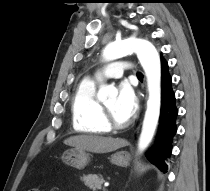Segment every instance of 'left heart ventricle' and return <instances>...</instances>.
I'll return each instance as SVG.
<instances>
[{
    "label": "left heart ventricle",
    "mask_w": 210,
    "mask_h": 191,
    "mask_svg": "<svg viewBox=\"0 0 210 191\" xmlns=\"http://www.w3.org/2000/svg\"><path fill=\"white\" fill-rule=\"evenodd\" d=\"M105 106L109 109V111L112 113V115L114 116V118L120 122H126L127 120L121 115L119 114V112L117 111V98L116 96L110 98L109 100H107L106 102H104Z\"/></svg>",
    "instance_id": "left-heart-ventricle-1"
}]
</instances>
